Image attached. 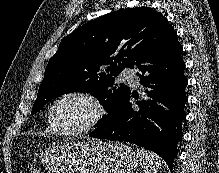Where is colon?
<instances>
[{"label": "colon", "instance_id": "colon-1", "mask_svg": "<svg viewBox=\"0 0 219 173\" xmlns=\"http://www.w3.org/2000/svg\"><path fill=\"white\" fill-rule=\"evenodd\" d=\"M27 173H40V170L37 166H30L27 169Z\"/></svg>", "mask_w": 219, "mask_h": 173}]
</instances>
